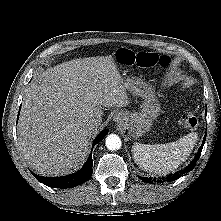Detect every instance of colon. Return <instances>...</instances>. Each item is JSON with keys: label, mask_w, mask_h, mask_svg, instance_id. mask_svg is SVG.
Listing matches in <instances>:
<instances>
[{"label": "colon", "mask_w": 221, "mask_h": 221, "mask_svg": "<svg viewBox=\"0 0 221 221\" xmlns=\"http://www.w3.org/2000/svg\"><path fill=\"white\" fill-rule=\"evenodd\" d=\"M117 60L125 65L137 66L142 69H149L156 65L167 66L169 58L166 56H158L155 53L139 52L135 53L129 49H119L117 51ZM197 118L192 112H186L183 117V124L186 128L193 129L197 126Z\"/></svg>", "instance_id": "colon-1"}]
</instances>
